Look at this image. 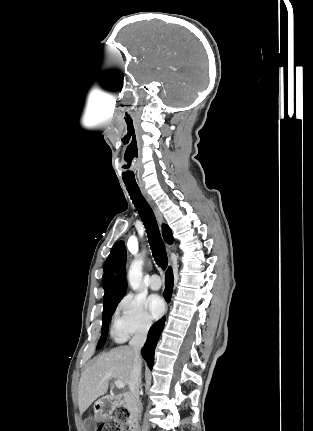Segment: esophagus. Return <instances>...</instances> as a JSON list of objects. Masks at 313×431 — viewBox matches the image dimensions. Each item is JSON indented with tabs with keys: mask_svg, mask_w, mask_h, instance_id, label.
<instances>
[{
	"mask_svg": "<svg viewBox=\"0 0 313 431\" xmlns=\"http://www.w3.org/2000/svg\"><path fill=\"white\" fill-rule=\"evenodd\" d=\"M141 192L144 196V198L146 199V201L148 202V204L150 205V207L152 208L159 224H162L164 222V218L159 210V208L157 207V205L155 204V202L153 201V199L151 198V196L147 193L146 190L141 189ZM168 249L170 250V248L172 247L171 245L167 246Z\"/></svg>",
	"mask_w": 313,
	"mask_h": 431,
	"instance_id": "obj_1",
	"label": "esophagus"
}]
</instances>
